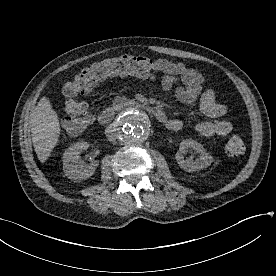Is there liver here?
Segmentation results:
<instances>
[{
    "label": "liver",
    "mask_w": 276,
    "mask_h": 276,
    "mask_svg": "<svg viewBox=\"0 0 276 276\" xmlns=\"http://www.w3.org/2000/svg\"><path fill=\"white\" fill-rule=\"evenodd\" d=\"M30 125L34 150L44 163L57 145L61 133L58 115L47 97H42L31 110Z\"/></svg>",
    "instance_id": "6515ba94"
}]
</instances>
